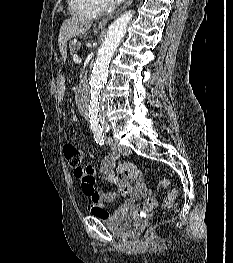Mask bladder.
I'll list each match as a JSON object with an SVG mask.
<instances>
[{"label": "bladder", "instance_id": "obj_1", "mask_svg": "<svg viewBox=\"0 0 233 263\" xmlns=\"http://www.w3.org/2000/svg\"><path fill=\"white\" fill-rule=\"evenodd\" d=\"M105 222L109 230L115 235L131 238L136 232L139 216L134 209L118 208Z\"/></svg>", "mask_w": 233, "mask_h": 263}]
</instances>
